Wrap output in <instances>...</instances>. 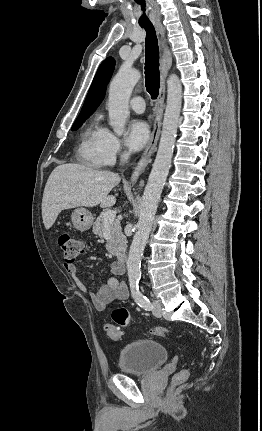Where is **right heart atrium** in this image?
Returning a JSON list of instances; mask_svg holds the SVG:
<instances>
[{
  "mask_svg": "<svg viewBox=\"0 0 262 431\" xmlns=\"http://www.w3.org/2000/svg\"><path fill=\"white\" fill-rule=\"evenodd\" d=\"M101 151L105 165H110L114 163L117 158L127 155L120 139L109 129H104Z\"/></svg>",
  "mask_w": 262,
  "mask_h": 431,
  "instance_id": "right-heart-atrium-1",
  "label": "right heart atrium"
}]
</instances>
